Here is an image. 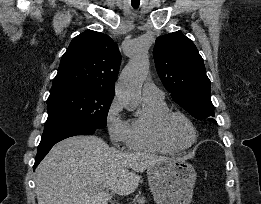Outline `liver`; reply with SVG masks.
<instances>
[{
    "mask_svg": "<svg viewBox=\"0 0 261 204\" xmlns=\"http://www.w3.org/2000/svg\"><path fill=\"white\" fill-rule=\"evenodd\" d=\"M169 159L122 152L97 136L67 138L36 168L38 204H108L113 194L129 195L137 189L139 172Z\"/></svg>",
    "mask_w": 261,
    "mask_h": 204,
    "instance_id": "obj_1",
    "label": "liver"
}]
</instances>
